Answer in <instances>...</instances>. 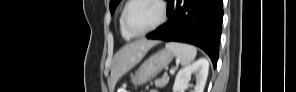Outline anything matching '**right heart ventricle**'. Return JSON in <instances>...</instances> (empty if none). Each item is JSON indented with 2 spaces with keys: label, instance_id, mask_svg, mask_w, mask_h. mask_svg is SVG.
<instances>
[{
  "label": "right heart ventricle",
  "instance_id": "e07e8e85",
  "mask_svg": "<svg viewBox=\"0 0 296 92\" xmlns=\"http://www.w3.org/2000/svg\"><path fill=\"white\" fill-rule=\"evenodd\" d=\"M119 28H120L121 35L123 36L124 39L130 40L131 38H133V36H131L130 34H128L126 32V30L124 29V27H123V24H122V13H121V15L119 17Z\"/></svg>",
  "mask_w": 296,
  "mask_h": 92
}]
</instances>
